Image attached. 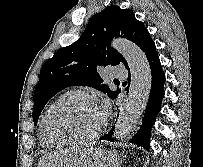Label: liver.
Returning <instances> with one entry per match:
<instances>
[{
	"mask_svg": "<svg viewBox=\"0 0 203 167\" xmlns=\"http://www.w3.org/2000/svg\"><path fill=\"white\" fill-rule=\"evenodd\" d=\"M93 149H68L45 155L38 167H81Z\"/></svg>",
	"mask_w": 203,
	"mask_h": 167,
	"instance_id": "obj_1",
	"label": "liver"
}]
</instances>
